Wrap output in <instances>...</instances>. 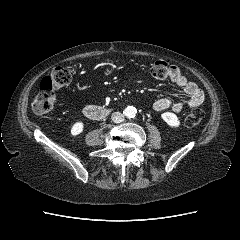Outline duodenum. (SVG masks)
<instances>
[{
	"mask_svg": "<svg viewBox=\"0 0 240 240\" xmlns=\"http://www.w3.org/2000/svg\"><path fill=\"white\" fill-rule=\"evenodd\" d=\"M83 113L90 119L99 120L104 118L109 113V110L107 108L96 105H87L83 109Z\"/></svg>",
	"mask_w": 240,
	"mask_h": 240,
	"instance_id": "duodenum-1",
	"label": "duodenum"
}]
</instances>
